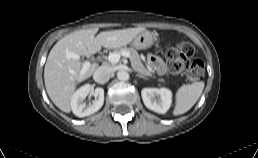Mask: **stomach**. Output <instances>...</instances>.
<instances>
[{
	"instance_id": "obj_1",
	"label": "stomach",
	"mask_w": 258,
	"mask_h": 158,
	"mask_svg": "<svg viewBox=\"0 0 258 158\" xmlns=\"http://www.w3.org/2000/svg\"><path fill=\"white\" fill-rule=\"evenodd\" d=\"M155 41V36L152 32L143 30L132 40V45L137 49L150 48Z\"/></svg>"
}]
</instances>
